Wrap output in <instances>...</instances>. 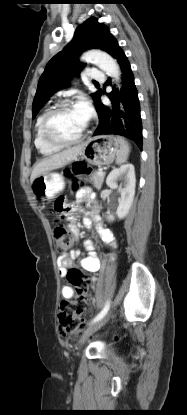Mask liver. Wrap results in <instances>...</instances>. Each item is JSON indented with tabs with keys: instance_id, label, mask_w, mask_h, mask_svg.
Instances as JSON below:
<instances>
[{
	"instance_id": "6515ba94",
	"label": "liver",
	"mask_w": 187,
	"mask_h": 415,
	"mask_svg": "<svg viewBox=\"0 0 187 415\" xmlns=\"http://www.w3.org/2000/svg\"><path fill=\"white\" fill-rule=\"evenodd\" d=\"M84 145H78L62 152L56 153L42 159L37 163L32 171L30 180L33 182L37 177L55 169H59L77 159L83 150Z\"/></svg>"
}]
</instances>
